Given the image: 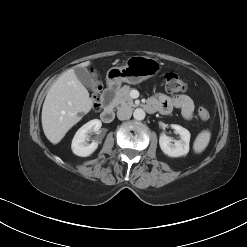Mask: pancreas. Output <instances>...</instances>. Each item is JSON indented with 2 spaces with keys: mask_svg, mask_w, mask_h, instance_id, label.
<instances>
[{
  "mask_svg": "<svg viewBox=\"0 0 247 247\" xmlns=\"http://www.w3.org/2000/svg\"><path fill=\"white\" fill-rule=\"evenodd\" d=\"M131 89L132 88L128 85H124L118 89L114 98V105H128L130 107H134L135 104L133 103V99L130 96Z\"/></svg>",
  "mask_w": 247,
  "mask_h": 247,
  "instance_id": "cf45deb5",
  "label": "pancreas"
}]
</instances>
